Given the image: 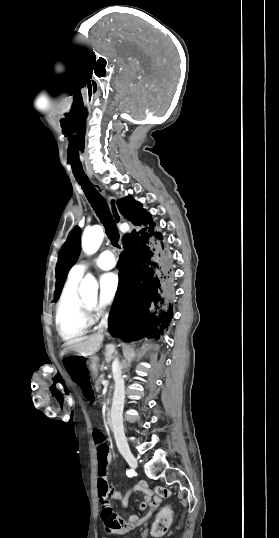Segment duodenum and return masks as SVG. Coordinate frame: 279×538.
Here are the masks:
<instances>
[{"mask_svg": "<svg viewBox=\"0 0 279 538\" xmlns=\"http://www.w3.org/2000/svg\"><path fill=\"white\" fill-rule=\"evenodd\" d=\"M92 369H93L94 371H97V370L99 369V366H98L97 364H94V365L92 366ZM111 417H112V414H111V413H106V418H107V423H108V424H107V427H108L109 429H112V428L114 427V424H113V418H111Z\"/></svg>", "mask_w": 279, "mask_h": 538, "instance_id": "410a0bca", "label": "duodenum"}]
</instances>
